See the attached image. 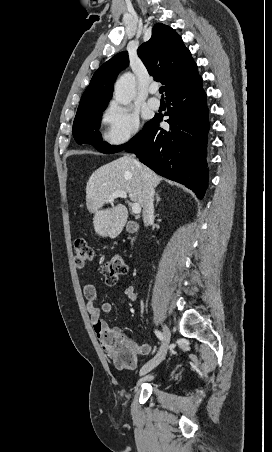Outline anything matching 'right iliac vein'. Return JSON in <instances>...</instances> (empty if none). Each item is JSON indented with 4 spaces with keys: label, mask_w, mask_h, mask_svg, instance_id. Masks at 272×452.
I'll list each match as a JSON object with an SVG mask.
<instances>
[{
    "label": "right iliac vein",
    "mask_w": 272,
    "mask_h": 452,
    "mask_svg": "<svg viewBox=\"0 0 272 452\" xmlns=\"http://www.w3.org/2000/svg\"><path fill=\"white\" fill-rule=\"evenodd\" d=\"M163 332H164L163 341L159 351L151 360H149L142 366L139 372L140 376H144L147 373H149L151 370L157 367L165 358L170 343L171 330L167 325H163Z\"/></svg>",
    "instance_id": "63e3f726"
}]
</instances>
